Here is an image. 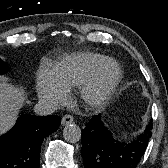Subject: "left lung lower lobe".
<instances>
[{
	"instance_id": "left-lung-lower-lobe-1",
	"label": "left lung lower lobe",
	"mask_w": 168,
	"mask_h": 168,
	"mask_svg": "<svg viewBox=\"0 0 168 168\" xmlns=\"http://www.w3.org/2000/svg\"><path fill=\"white\" fill-rule=\"evenodd\" d=\"M152 120L130 143L112 137L101 116H93L82 130L81 155L85 168H136L152 135Z\"/></svg>"
}]
</instances>
